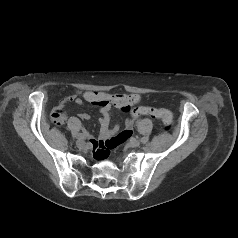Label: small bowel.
<instances>
[{
    "label": "small bowel",
    "mask_w": 238,
    "mask_h": 238,
    "mask_svg": "<svg viewBox=\"0 0 238 238\" xmlns=\"http://www.w3.org/2000/svg\"><path fill=\"white\" fill-rule=\"evenodd\" d=\"M139 100H140V97L138 95L115 94L111 96L104 92L77 91L75 94H72L64 98L53 109L52 118L58 125H62L67 120V115L64 112V107L66 103L73 102L77 105H82L84 101L89 102L95 106H98L100 109V113H101V117L99 119L100 133H101V136L104 139H106V138L114 136L119 131L118 125L114 126L113 128H110L112 104L124 111H129L131 109V106L138 103ZM57 111L60 112V115L58 118H54L53 115ZM79 117L83 120H87L89 119L90 116L86 113H81L79 114ZM132 127H133V119H128L125 122V129L130 131Z\"/></svg>",
    "instance_id": "c3829d8e"
}]
</instances>
